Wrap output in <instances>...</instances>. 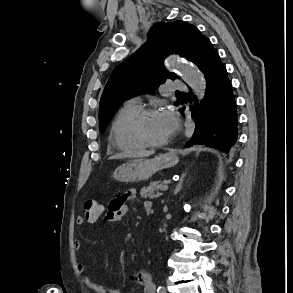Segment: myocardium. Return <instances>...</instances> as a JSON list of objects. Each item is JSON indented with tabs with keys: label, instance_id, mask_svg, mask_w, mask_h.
Listing matches in <instances>:
<instances>
[{
	"label": "myocardium",
	"instance_id": "myocardium-1",
	"mask_svg": "<svg viewBox=\"0 0 293 293\" xmlns=\"http://www.w3.org/2000/svg\"><path fill=\"white\" fill-rule=\"evenodd\" d=\"M159 112L158 109L156 108H143L139 111V113L136 115L134 122H133V132L135 136L137 137L138 140H140L143 144L146 145V147H153V148H158L167 145L172 137L173 134L167 138L166 140L163 141H152L149 138L146 137V135L143 132V123L145 119L156 113Z\"/></svg>",
	"mask_w": 293,
	"mask_h": 293
}]
</instances>
